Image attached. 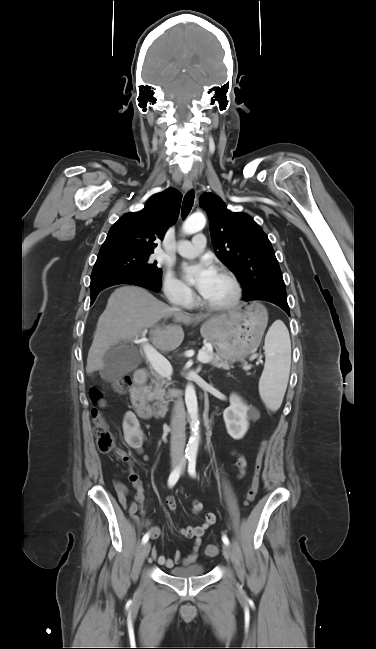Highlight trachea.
<instances>
[{
    "label": "trachea",
    "mask_w": 376,
    "mask_h": 649,
    "mask_svg": "<svg viewBox=\"0 0 376 649\" xmlns=\"http://www.w3.org/2000/svg\"><path fill=\"white\" fill-rule=\"evenodd\" d=\"M194 191L191 190L186 193L182 203V217L185 218L191 211L194 203Z\"/></svg>",
    "instance_id": "obj_1"
}]
</instances>
